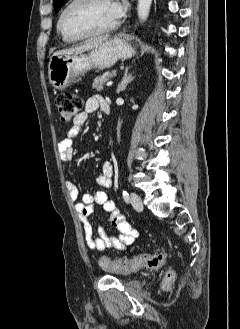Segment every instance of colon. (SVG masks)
Masks as SVG:
<instances>
[{"mask_svg": "<svg viewBox=\"0 0 240 329\" xmlns=\"http://www.w3.org/2000/svg\"><path fill=\"white\" fill-rule=\"evenodd\" d=\"M55 105L58 110L60 121L69 124L74 122L76 117L80 114L82 101L75 95L61 93L56 96ZM166 259V252L156 251L153 253L140 254L125 261H110L106 258H100L99 265L105 271L129 274L141 268H146L151 271L157 270L165 264ZM175 277L176 274L173 269H169L166 272L162 282V289L164 291H169L171 289Z\"/></svg>", "mask_w": 240, "mask_h": 329, "instance_id": "5ec220e1", "label": "colon"}]
</instances>
